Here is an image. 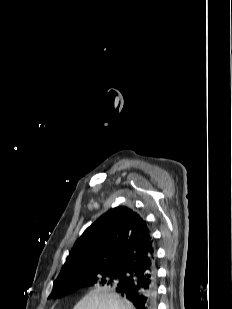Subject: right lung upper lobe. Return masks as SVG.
<instances>
[{
  "instance_id": "obj_1",
  "label": "right lung upper lobe",
  "mask_w": 232,
  "mask_h": 309,
  "mask_svg": "<svg viewBox=\"0 0 232 309\" xmlns=\"http://www.w3.org/2000/svg\"><path fill=\"white\" fill-rule=\"evenodd\" d=\"M151 256H155V248L147 223L133 209L119 206L103 214L77 239L54 285L96 270L128 272L135 262Z\"/></svg>"
}]
</instances>
